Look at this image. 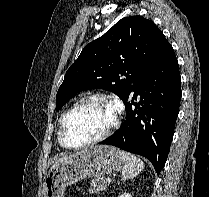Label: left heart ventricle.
Masks as SVG:
<instances>
[{
  "label": "left heart ventricle",
  "mask_w": 209,
  "mask_h": 197,
  "mask_svg": "<svg viewBox=\"0 0 209 197\" xmlns=\"http://www.w3.org/2000/svg\"><path fill=\"white\" fill-rule=\"evenodd\" d=\"M114 111L105 103L93 102L76 110L67 120L66 140L80 144L102 134L113 121Z\"/></svg>",
  "instance_id": "1"
}]
</instances>
